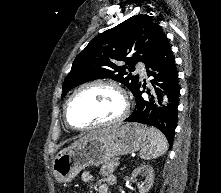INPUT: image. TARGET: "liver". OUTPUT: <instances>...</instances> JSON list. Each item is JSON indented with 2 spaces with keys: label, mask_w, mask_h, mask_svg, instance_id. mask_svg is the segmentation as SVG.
<instances>
[{
  "label": "liver",
  "mask_w": 221,
  "mask_h": 193,
  "mask_svg": "<svg viewBox=\"0 0 221 193\" xmlns=\"http://www.w3.org/2000/svg\"><path fill=\"white\" fill-rule=\"evenodd\" d=\"M107 131H109V130L106 129V130H98V131H94V132H92V133L86 135L85 137L81 138L80 140L74 142V144H77V143L83 141V140L86 139V138H90V137H93V136H96V135H99V134L105 133V132H107Z\"/></svg>",
  "instance_id": "obj_1"
}]
</instances>
